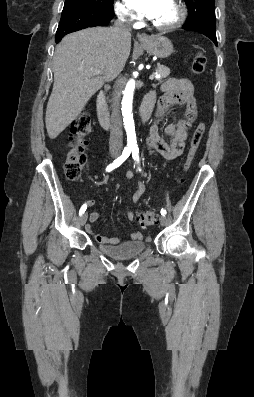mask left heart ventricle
I'll list each match as a JSON object with an SVG mask.
<instances>
[{"mask_svg":"<svg viewBox=\"0 0 254 397\" xmlns=\"http://www.w3.org/2000/svg\"><path fill=\"white\" fill-rule=\"evenodd\" d=\"M178 17V9L172 0H163L157 13L151 18L155 24L167 25Z\"/></svg>","mask_w":254,"mask_h":397,"instance_id":"b2bd125f","label":"left heart ventricle"}]
</instances>
